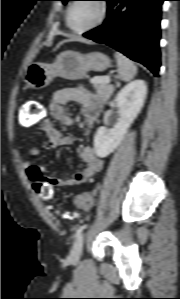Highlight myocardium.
Masks as SVG:
<instances>
[{"label":"myocardium","instance_id":"myocardium-1","mask_svg":"<svg viewBox=\"0 0 180 299\" xmlns=\"http://www.w3.org/2000/svg\"><path fill=\"white\" fill-rule=\"evenodd\" d=\"M77 1L78 0H73L70 3V5L67 8L66 16H65L66 25L71 32L76 33V34H83V33H86V32H89L91 30L98 28L105 22L107 15H108V11H109L107 2L105 0H93L94 2L97 3V5L99 7V16L96 19V21L93 22L91 25H89L85 28H82V29H75L74 27H72L70 24V13H71L73 6L77 3Z\"/></svg>","mask_w":180,"mask_h":299}]
</instances>
